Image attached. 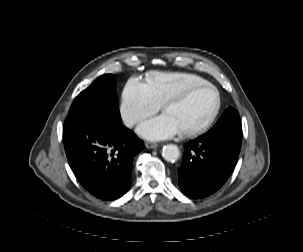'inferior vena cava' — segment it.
Segmentation results:
<instances>
[{"instance_id": "602c4592", "label": "inferior vena cava", "mask_w": 303, "mask_h": 252, "mask_svg": "<svg viewBox=\"0 0 303 252\" xmlns=\"http://www.w3.org/2000/svg\"><path fill=\"white\" fill-rule=\"evenodd\" d=\"M125 125L128 126V127H131L134 125V120H131V119H128V120H125Z\"/></svg>"}]
</instances>
